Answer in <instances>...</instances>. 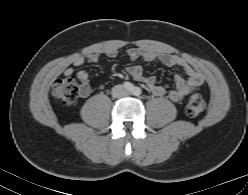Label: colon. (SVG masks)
Instances as JSON below:
<instances>
[{"label":"colon","instance_id":"1","mask_svg":"<svg viewBox=\"0 0 248 195\" xmlns=\"http://www.w3.org/2000/svg\"><path fill=\"white\" fill-rule=\"evenodd\" d=\"M85 87V84H81L74 76L68 75L55 80L51 94L59 103L68 106L75 102ZM204 107V98L198 93H193L186 105V113L189 116H196L203 111Z\"/></svg>","mask_w":248,"mask_h":195}]
</instances>
